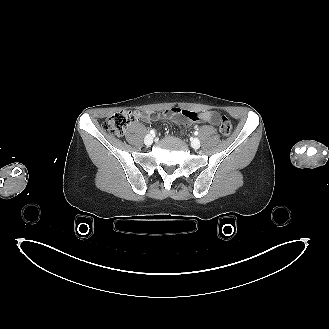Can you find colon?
Instances as JSON below:
<instances>
[{
	"label": "colon",
	"mask_w": 329,
	"mask_h": 329,
	"mask_svg": "<svg viewBox=\"0 0 329 329\" xmlns=\"http://www.w3.org/2000/svg\"><path fill=\"white\" fill-rule=\"evenodd\" d=\"M136 119V113L132 111L116 112L103 121L102 129L112 136H121ZM231 131L232 125L229 119L224 115H220V133L224 137H228Z\"/></svg>",
	"instance_id": "5ec220e1"
}]
</instances>
